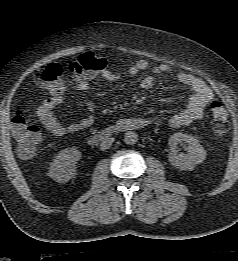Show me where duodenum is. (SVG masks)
Wrapping results in <instances>:
<instances>
[{"mask_svg":"<svg viewBox=\"0 0 238 261\" xmlns=\"http://www.w3.org/2000/svg\"><path fill=\"white\" fill-rule=\"evenodd\" d=\"M132 129H136V125L132 123H126V124L117 123L115 125L108 126L103 130L91 135L88 138V143L91 145H96L102 141L109 139L110 137H112L114 134L118 132H123Z\"/></svg>","mask_w":238,"mask_h":261,"instance_id":"410a0bca","label":"duodenum"}]
</instances>
